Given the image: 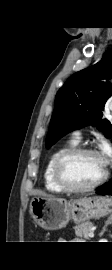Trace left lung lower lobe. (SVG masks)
Masks as SVG:
<instances>
[{
  "mask_svg": "<svg viewBox=\"0 0 112 270\" xmlns=\"http://www.w3.org/2000/svg\"><path fill=\"white\" fill-rule=\"evenodd\" d=\"M96 193L100 195H112V179L100 186V189Z\"/></svg>",
  "mask_w": 112,
  "mask_h": 270,
  "instance_id": "1",
  "label": "left lung lower lobe"
}]
</instances>
